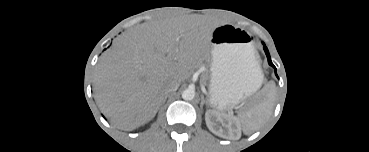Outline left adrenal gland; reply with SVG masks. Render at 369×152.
<instances>
[{
  "label": "left adrenal gland",
  "mask_w": 369,
  "mask_h": 152,
  "mask_svg": "<svg viewBox=\"0 0 369 152\" xmlns=\"http://www.w3.org/2000/svg\"><path fill=\"white\" fill-rule=\"evenodd\" d=\"M204 104H208V102L205 100L204 96H201V108L203 107Z\"/></svg>",
  "instance_id": "a2214340"
}]
</instances>
